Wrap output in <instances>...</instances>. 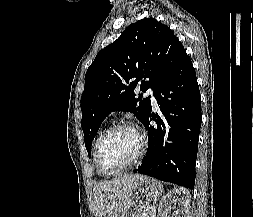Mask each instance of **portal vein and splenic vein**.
Wrapping results in <instances>:
<instances>
[{
  "label": "portal vein and splenic vein",
  "instance_id": "portal-vein-and-splenic-vein-1",
  "mask_svg": "<svg viewBox=\"0 0 253 217\" xmlns=\"http://www.w3.org/2000/svg\"><path fill=\"white\" fill-rule=\"evenodd\" d=\"M149 210H150V211H155V208H154V207H150Z\"/></svg>",
  "mask_w": 253,
  "mask_h": 217
}]
</instances>
